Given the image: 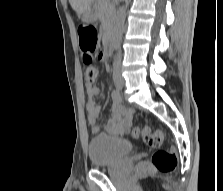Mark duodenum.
Masks as SVG:
<instances>
[{"mask_svg": "<svg viewBox=\"0 0 223 191\" xmlns=\"http://www.w3.org/2000/svg\"><path fill=\"white\" fill-rule=\"evenodd\" d=\"M88 11L92 12V8L89 7ZM104 54L106 57L111 54V38L109 36H106L104 40Z\"/></svg>", "mask_w": 223, "mask_h": 191, "instance_id": "410a0bca", "label": "duodenum"}]
</instances>
